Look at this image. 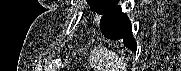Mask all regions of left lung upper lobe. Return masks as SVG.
<instances>
[{
	"label": "left lung upper lobe",
	"mask_w": 181,
	"mask_h": 71,
	"mask_svg": "<svg viewBox=\"0 0 181 71\" xmlns=\"http://www.w3.org/2000/svg\"><path fill=\"white\" fill-rule=\"evenodd\" d=\"M90 8L99 14H105L113 8L118 0H87Z\"/></svg>",
	"instance_id": "obj_1"
}]
</instances>
